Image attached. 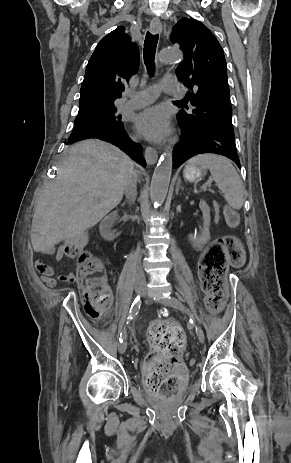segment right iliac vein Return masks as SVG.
<instances>
[{
	"label": "right iliac vein",
	"instance_id": "63e3f726",
	"mask_svg": "<svg viewBox=\"0 0 291 463\" xmlns=\"http://www.w3.org/2000/svg\"><path fill=\"white\" fill-rule=\"evenodd\" d=\"M142 284H143V279L142 278H137L134 282V289L136 291V293H139L141 288H142ZM127 349V343L126 341H123L121 342L119 345H118V350L121 354L125 353Z\"/></svg>",
	"mask_w": 291,
	"mask_h": 463
}]
</instances>
